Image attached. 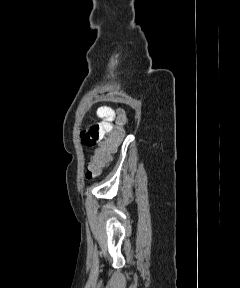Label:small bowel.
<instances>
[{
  "label": "small bowel",
  "instance_id": "c3829d8e",
  "mask_svg": "<svg viewBox=\"0 0 240 288\" xmlns=\"http://www.w3.org/2000/svg\"><path fill=\"white\" fill-rule=\"evenodd\" d=\"M97 117L99 118V122L82 131L80 134L81 140L86 146L96 145L114 128L113 121L115 112L112 108L107 106L99 107Z\"/></svg>",
  "mask_w": 240,
  "mask_h": 288
}]
</instances>
